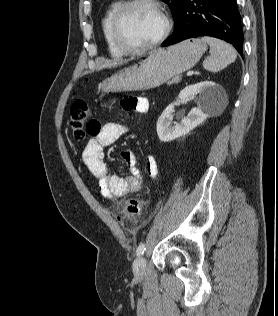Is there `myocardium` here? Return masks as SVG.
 Returning <instances> with one entry per match:
<instances>
[{
	"instance_id": "myocardium-1",
	"label": "myocardium",
	"mask_w": 278,
	"mask_h": 316,
	"mask_svg": "<svg viewBox=\"0 0 278 316\" xmlns=\"http://www.w3.org/2000/svg\"><path fill=\"white\" fill-rule=\"evenodd\" d=\"M139 4H147L153 7L159 13L162 19L163 28L160 35L151 43L141 46V47H132L128 45L123 39V36L121 33V23L126 13L131 8ZM171 29H172V20L169 14L167 13L165 7L157 0L126 1L119 7V9L116 11L112 19V34H113L115 43L122 51H124L127 54H132V55L142 54L156 48L168 37V35L171 32Z\"/></svg>"
}]
</instances>
